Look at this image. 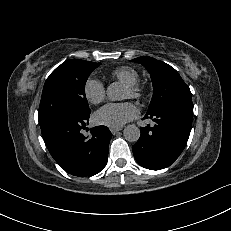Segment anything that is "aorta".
<instances>
[{"label":"aorta","instance_id":"obj_1","mask_svg":"<svg viewBox=\"0 0 231 231\" xmlns=\"http://www.w3.org/2000/svg\"><path fill=\"white\" fill-rule=\"evenodd\" d=\"M107 96L110 100L119 101L124 99L122 87L117 83H112L107 88ZM124 138L129 142H136L140 138V129L135 125H127L123 131Z\"/></svg>","mask_w":231,"mask_h":231}]
</instances>
